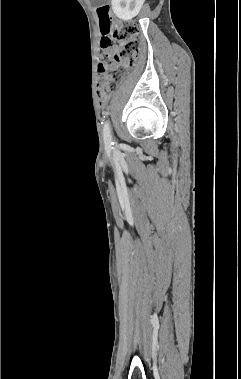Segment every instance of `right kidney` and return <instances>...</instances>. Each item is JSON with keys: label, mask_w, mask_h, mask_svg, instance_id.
Instances as JSON below:
<instances>
[{"label": "right kidney", "mask_w": 241, "mask_h": 379, "mask_svg": "<svg viewBox=\"0 0 241 379\" xmlns=\"http://www.w3.org/2000/svg\"><path fill=\"white\" fill-rule=\"evenodd\" d=\"M144 1L145 0H112L111 5L114 14L118 18L129 21L139 13Z\"/></svg>", "instance_id": "1"}]
</instances>
